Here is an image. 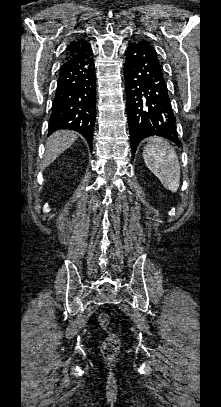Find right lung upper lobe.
<instances>
[{
  "label": "right lung upper lobe",
  "instance_id": "cb5924a9",
  "mask_svg": "<svg viewBox=\"0 0 221 407\" xmlns=\"http://www.w3.org/2000/svg\"><path fill=\"white\" fill-rule=\"evenodd\" d=\"M86 44L87 42L84 40H73L72 42H70L65 52V59L73 56L76 52L80 51Z\"/></svg>",
  "mask_w": 221,
  "mask_h": 407
}]
</instances>
